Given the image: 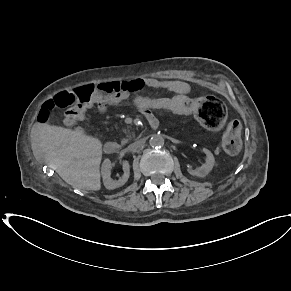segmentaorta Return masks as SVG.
Wrapping results in <instances>:
<instances>
[{
    "instance_id": "aorta-1",
    "label": "aorta",
    "mask_w": 291,
    "mask_h": 291,
    "mask_svg": "<svg viewBox=\"0 0 291 291\" xmlns=\"http://www.w3.org/2000/svg\"><path fill=\"white\" fill-rule=\"evenodd\" d=\"M149 144L155 148L162 147L164 145V137L160 134H155L150 138Z\"/></svg>"
}]
</instances>
